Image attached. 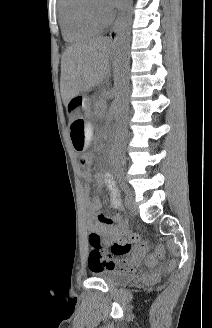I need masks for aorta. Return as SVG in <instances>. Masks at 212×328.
<instances>
[{"mask_svg": "<svg viewBox=\"0 0 212 328\" xmlns=\"http://www.w3.org/2000/svg\"><path fill=\"white\" fill-rule=\"evenodd\" d=\"M133 0H123L121 7V20L117 30L116 38V66L114 77L115 90V120H116V144L118 147L125 141L126 126L128 119V73H129V44L132 22ZM113 164L111 174L114 180H119L124 171L122 164L121 151L113 155Z\"/></svg>", "mask_w": 212, "mask_h": 328, "instance_id": "obj_1", "label": "aorta"}]
</instances>
